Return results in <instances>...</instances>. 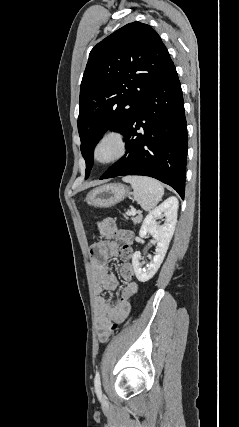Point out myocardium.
Listing matches in <instances>:
<instances>
[{
    "instance_id": "1",
    "label": "myocardium",
    "mask_w": 239,
    "mask_h": 427,
    "mask_svg": "<svg viewBox=\"0 0 239 427\" xmlns=\"http://www.w3.org/2000/svg\"><path fill=\"white\" fill-rule=\"evenodd\" d=\"M107 140H114L118 144V152L117 154L108 160H100L98 157V149L101 146L102 143H104ZM129 149V143L126 135L118 130H108L100 135V137L97 139L93 146L92 150V156L96 163L100 165H112L120 161L122 158H124L128 152Z\"/></svg>"
}]
</instances>
